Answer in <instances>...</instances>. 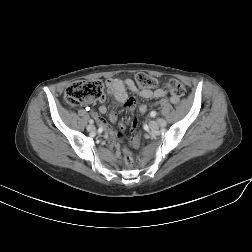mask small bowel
<instances>
[{
    "label": "small bowel",
    "instance_id": "c3829d8e",
    "mask_svg": "<svg viewBox=\"0 0 252 252\" xmlns=\"http://www.w3.org/2000/svg\"><path fill=\"white\" fill-rule=\"evenodd\" d=\"M107 91L108 93L113 97V99L123 104L127 109L130 110H138L140 113H145L147 111V106L145 104H138L137 99L133 96H129L127 93V90L137 93L142 98L145 99H152V98H164L167 96V92L162 89L158 88L155 90L152 89H138L135 82L131 78H127L125 80H121L118 78H108L106 81ZM103 100V99H101ZM180 99L174 95H171L167 97L166 99H163L162 104L166 103H172L177 104L179 103ZM92 101H88V104H91ZM107 112V107L105 105H101L99 107V113L105 114ZM91 116L98 122V124L106 129L107 131V139H108V145L110 149H116L117 151L123 147V138L120 137L117 133L116 135L113 133V131L110 128V125L106 123L98 114V112L91 110L90 111ZM109 120L112 124L117 123L118 121V115L115 111H111L109 114ZM120 128L124 129L125 123L123 121H120ZM114 159L118 158V153L116 152L114 154Z\"/></svg>",
    "mask_w": 252,
    "mask_h": 252
}]
</instances>
